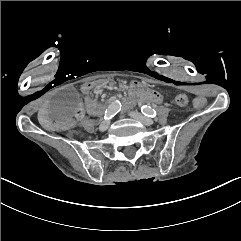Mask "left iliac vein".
<instances>
[{
	"label": "left iliac vein",
	"instance_id": "1",
	"mask_svg": "<svg viewBox=\"0 0 241 241\" xmlns=\"http://www.w3.org/2000/svg\"><path fill=\"white\" fill-rule=\"evenodd\" d=\"M131 117L140 121L141 123H143L144 125L146 126H151L153 125V120L144 116L143 114L137 112V111H134L131 113Z\"/></svg>",
	"mask_w": 241,
	"mask_h": 241
}]
</instances>
